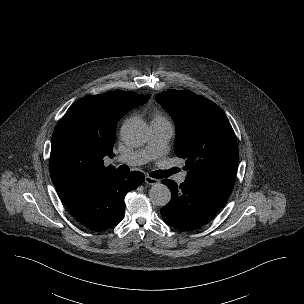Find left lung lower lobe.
I'll use <instances>...</instances> for the list:
<instances>
[{
  "mask_svg": "<svg viewBox=\"0 0 304 304\" xmlns=\"http://www.w3.org/2000/svg\"><path fill=\"white\" fill-rule=\"evenodd\" d=\"M172 193L170 202L161 209L163 220L183 231H191L209 222L226 202V196L183 182L162 181Z\"/></svg>",
  "mask_w": 304,
  "mask_h": 304,
  "instance_id": "obj_1",
  "label": "left lung lower lobe"
}]
</instances>
